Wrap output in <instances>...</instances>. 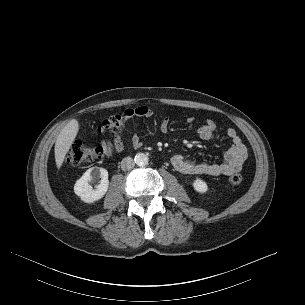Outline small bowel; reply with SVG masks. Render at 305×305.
<instances>
[{
    "mask_svg": "<svg viewBox=\"0 0 305 305\" xmlns=\"http://www.w3.org/2000/svg\"><path fill=\"white\" fill-rule=\"evenodd\" d=\"M129 118H139L147 120L153 116L152 110L145 105L137 106L135 108L127 109L125 111ZM195 121L193 116L187 118V123L191 124ZM170 119L164 117L160 122V130L166 133L169 129ZM216 124L213 120L208 119L198 129V136L206 141H213L215 139ZM226 136L231 140V146L224 155V160L221 163H211L206 161H194L185 158L182 155H174L171 158L173 167L183 174H199L208 176H229L242 169L243 164L247 158V149L237 132L233 128L226 129ZM132 143L135 147L141 146L139 135L135 133L132 137ZM103 147L105 155L112 158L121 153L124 149V144L120 135H116L111 140H104Z\"/></svg>",
    "mask_w": 305,
    "mask_h": 305,
    "instance_id": "small-bowel-1",
    "label": "small bowel"
}]
</instances>
